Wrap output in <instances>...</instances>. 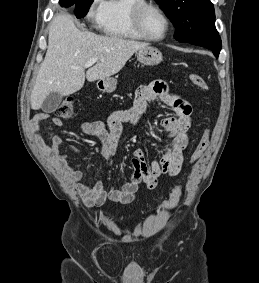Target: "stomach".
Listing matches in <instances>:
<instances>
[{"instance_id":"obj_1","label":"stomach","mask_w":259,"mask_h":283,"mask_svg":"<svg viewBox=\"0 0 259 283\" xmlns=\"http://www.w3.org/2000/svg\"><path fill=\"white\" fill-rule=\"evenodd\" d=\"M136 56L140 63L148 66L158 65L163 60L162 53L157 48L151 46L138 50ZM97 88L100 91L111 93L117 88V79L109 77L99 80Z\"/></svg>"}]
</instances>
